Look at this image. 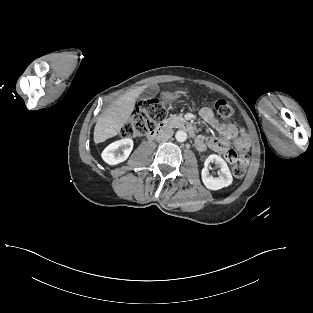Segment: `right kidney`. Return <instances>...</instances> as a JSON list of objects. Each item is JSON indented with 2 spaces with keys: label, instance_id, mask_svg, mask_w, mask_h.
<instances>
[{
  "label": "right kidney",
  "instance_id": "obj_1",
  "mask_svg": "<svg viewBox=\"0 0 313 313\" xmlns=\"http://www.w3.org/2000/svg\"><path fill=\"white\" fill-rule=\"evenodd\" d=\"M133 149V140L121 139L109 144L102 152V159L109 165H116L125 161ZM122 152V153H121Z\"/></svg>",
  "mask_w": 313,
  "mask_h": 313
}]
</instances>
